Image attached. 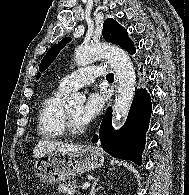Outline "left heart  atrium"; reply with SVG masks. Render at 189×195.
<instances>
[{
  "instance_id": "39dd6f15",
  "label": "left heart atrium",
  "mask_w": 189,
  "mask_h": 195,
  "mask_svg": "<svg viewBox=\"0 0 189 195\" xmlns=\"http://www.w3.org/2000/svg\"><path fill=\"white\" fill-rule=\"evenodd\" d=\"M105 103V94L102 91H94L89 96L79 113L80 122L86 126L93 122L102 111Z\"/></svg>"
}]
</instances>
